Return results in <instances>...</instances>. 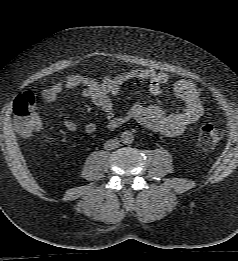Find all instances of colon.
<instances>
[{
  "label": "colon",
  "mask_w": 238,
  "mask_h": 261,
  "mask_svg": "<svg viewBox=\"0 0 238 261\" xmlns=\"http://www.w3.org/2000/svg\"><path fill=\"white\" fill-rule=\"evenodd\" d=\"M14 124L22 137L30 136L41 125L40 110L36 97L31 93L20 95L13 106ZM221 131L213 124H206L199 130L197 142L203 149L216 146L221 140Z\"/></svg>",
  "instance_id": "1"
}]
</instances>
